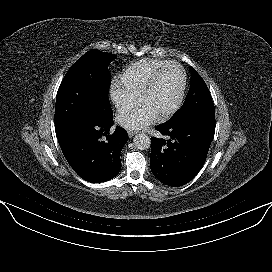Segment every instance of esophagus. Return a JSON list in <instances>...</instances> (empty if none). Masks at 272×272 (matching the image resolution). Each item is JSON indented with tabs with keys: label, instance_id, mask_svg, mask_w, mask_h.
<instances>
[{
	"label": "esophagus",
	"instance_id": "obj_1",
	"mask_svg": "<svg viewBox=\"0 0 272 272\" xmlns=\"http://www.w3.org/2000/svg\"><path fill=\"white\" fill-rule=\"evenodd\" d=\"M135 134H137L136 131H132V130L128 131V135H129L130 138H132Z\"/></svg>",
	"mask_w": 272,
	"mask_h": 272
}]
</instances>
